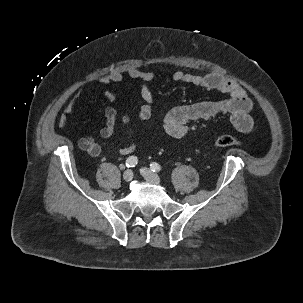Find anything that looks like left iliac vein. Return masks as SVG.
<instances>
[{"label":"left iliac vein","mask_w":303,"mask_h":303,"mask_svg":"<svg viewBox=\"0 0 303 303\" xmlns=\"http://www.w3.org/2000/svg\"><path fill=\"white\" fill-rule=\"evenodd\" d=\"M141 174L143 175V177L147 181H149V182H151L153 184H157L158 185L161 182L160 177L157 174H155L154 172H152L148 168H142L141 169Z\"/></svg>","instance_id":"obj_1"}]
</instances>
